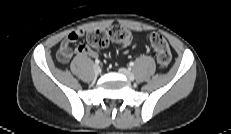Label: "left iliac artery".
<instances>
[{"label": "left iliac artery", "instance_id": "1", "mask_svg": "<svg viewBox=\"0 0 231 134\" xmlns=\"http://www.w3.org/2000/svg\"><path fill=\"white\" fill-rule=\"evenodd\" d=\"M129 66H130V67L134 66V62H130V63H129Z\"/></svg>", "mask_w": 231, "mask_h": 134}]
</instances>
